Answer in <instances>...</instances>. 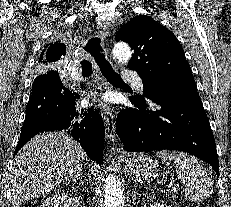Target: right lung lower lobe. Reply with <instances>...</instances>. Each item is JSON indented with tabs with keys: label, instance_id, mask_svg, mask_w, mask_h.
I'll return each mask as SVG.
<instances>
[{
	"label": "right lung lower lobe",
	"instance_id": "obj_1",
	"mask_svg": "<svg viewBox=\"0 0 231 207\" xmlns=\"http://www.w3.org/2000/svg\"><path fill=\"white\" fill-rule=\"evenodd\" d=\"M77 98V93L63 86L57 71L36 77L14 155L39 132L67 130L92 160L103 163L105 129L102 117L94 108L78 110Z\"/></svg>",
	"mask_w": 231,
	"mask_h": 207
}]
</instances>
